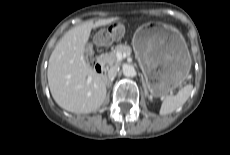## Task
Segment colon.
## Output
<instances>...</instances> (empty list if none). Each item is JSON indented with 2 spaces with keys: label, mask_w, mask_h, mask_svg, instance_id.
Here are the masks:
<instances>
[{
  "label": "colon",
  "mask_w": 230,
  "mask_h": 155,
  "mask_svg": "<svg viewBox=\"0 0 230 155\" xmlns=\"http://www.w3.org/2000/svg\"><path fill=\"white\" fill-rule=\"evenodd\" d=\"M125 31V27L122 23L117 22L110 26L107 29H103L100 32L97 33L95 36V41L100 46H105L110 44L113 39L119 40L123 37ZM89 41L88 39L86 40ZM88 60L91 61L92 56L90 53H88Z\"/></svg>",
  "instance_id": "obj_1"
}]
</instances>
